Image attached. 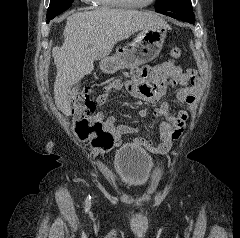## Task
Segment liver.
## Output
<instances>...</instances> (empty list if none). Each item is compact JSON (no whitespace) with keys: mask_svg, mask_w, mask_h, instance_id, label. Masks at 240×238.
<instances>
[{"mask_svg":"<svg viewBox=\"0 0 240 238\" xmlns=\"http://www.w3.org/2000/svg\"><path fill=\"white\" fill-rule=\"evenodd\" d=\"M154 26L169 28L158 15L147 11L101 8L68 16L63 45L52 50L57 68L54 99L58 109L71 115V87L92 72L95 59L109 55L117 42Z\"/></svg>","mask_w":240,"mask_h":238,"instance_id":"1","label":"liver"}]
</instances>
